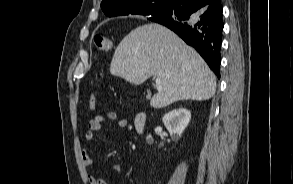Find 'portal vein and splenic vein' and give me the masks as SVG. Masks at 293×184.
Masks as SVG:
<instances>
[{
	"mask_svg": "<svg viewBox=\"0 0 293 184\" xmlns=\"http://www.w3.org/2000/svg\"><path fill=\"white\" fill-rule=\"evenodd\" d=\"M156 88L158 89V90H160L161 89V85H160V78H156Z\"/></svg>",
	"mask_w": 293,
	"mask_h": 184,
	"instance_id": "18ae733b",
	"label": "portal vein and splenic vein"
}]
</instances>
